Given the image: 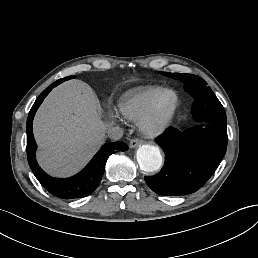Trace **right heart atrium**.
I'll return each instance as SVG.
<instances>
[{
	"label": "right heart atrium",
	"mask_w": 258,
	"mask_h": 258,
	"mask_svg": "<svg viewBox=\"0 0 258 258\" xmlns=\"http://www.w3.org/2000/svg\"><path fill=\"white\" fill-rule=\"evenodd\" d=\"M110 110H113V111H115V112H117V113H119L117 110H115V109H110ZM120 114V113H119Z\"/></svg>",
	"instance_id": "obj_1"
}]
</instances>
